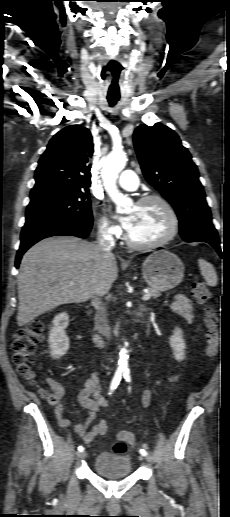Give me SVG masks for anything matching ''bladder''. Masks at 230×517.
I'll use <instances>...</instances> for the list:
<instances>
[{"mask_svg":"<svg viewBox=\"0 0 230 517\" xmlns=\"http://www.w3.org/2000/svg\"><path fill=\"white\" fill-rule=\"evenodd\" d=\"M93 471L105 478L116 479L129 476L132 473V464L128 457L101 452L94 459Z\"/></svg>","mask_w":230,"mask_h":517,"instance_id":"obj_1","label":"bladder"}]
</instances>
